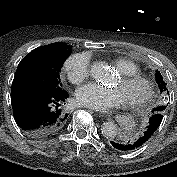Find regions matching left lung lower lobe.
Here are the masks:
<instances>
[{
    "label": "left lung lower lobe",
    "mask_w": 177,
    "mask_h": 177,
    "mask_svg": "<svg viewBox=\"0 0 177 177\" xmlns=\"http://www.w3.org/2000/svg\"><path fill=\"white\" fill-rule=\"evenodd\" d=\"M162 107L163 106H159L152 110L153 114L149 118L147 129L138 138L114 140L113 142H110L112 146L121 151H131L145 144L149 140V138L154 134V132L157 130V128L159 127L162 121V118H163L162 113H161Z\"/></svg>",
    "instance_id": "1"
}]
</instances>
